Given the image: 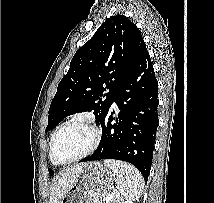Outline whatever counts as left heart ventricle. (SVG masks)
Wrapping results in <instances>:
<instances>
[{"label":"left heart ventricle","mask_w":214,"mask_h":203,"mask_svg":"<svg viewBox=\"0 0 214 203\" xmlns=\"http://www.w3.org/2000/svg\"><path fill=\"white\" fill-rule=\"evenodd\" d=\"M93 141V132L83 125L66 128L59 135L55 145V158L67 162L84 153Z\"/></svg>","instance_id":"b2bd125f"}]
</instances>
